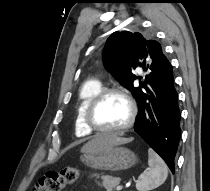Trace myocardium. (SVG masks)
<instances>
[{"label": "myocardium", "instance_id": "obj_1", "mask_svg": "<svg viewBox=\"0 0 210 191\" xmlns=\"http://www.w3.org/2000/svg\"><path fill=\"white\" fill-rule=\"evenodd\" d=\"M108 95H119L128 104L129 118H128L127 122L121 127L113 128V129L103 128V127L99 126L95 121V118H94L95 110H96L97 106L99 105V103ZM136 115H137V107H136V104H135L134 100L132 99V97L123 89L112 87V88H105V89L100 90L92 98V100L89 102V104L86 108V111L84 114V121H85L86 126L92 131L104 133V134H119V133L124 132L132 127V125L135 122Z\"/></svg>", "mask_w": 210, "mask_h": 191}]
</instances>
